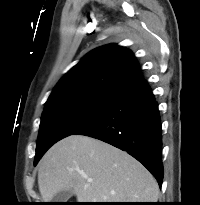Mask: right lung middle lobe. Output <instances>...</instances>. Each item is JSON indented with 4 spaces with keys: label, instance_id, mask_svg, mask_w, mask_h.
I'll list each match as a JSON object with an SVG mask.
<instances>
[{
    "label": "right lung middle lobe",
    "instance_id": "dd1d6c3e",
    "mask_svg": "<svg viewBox=\"0 0 200 205\" xmlns=\"http://www.w3.org/2000/svg\"><path fill=\"white\" fill-rule=\"evenodd\" d=\"M114 101L115 99L103 97H74L45 107L34 165L54 143L97 119Z\"/></svg>",
    "mask_w": 200,
    "mask_h": 205
}]
</instances>
